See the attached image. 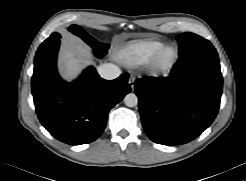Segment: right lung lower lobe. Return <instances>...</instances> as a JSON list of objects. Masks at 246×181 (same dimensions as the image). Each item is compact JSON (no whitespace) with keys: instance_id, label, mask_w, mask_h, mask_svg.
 <instances>
[{"instance_id":"1","label":"right lung lower lobe","mask_w":246,"mask_h":181,"mask_svg":"<svg viewBox=\"0 0 246 181\" xmlns=\"http://www.w3.org/2000/svg\"><path fill=\"white\" fill-rule=\"evenodd\" d=\"M59 45L56 40L36 53L31 82L36 112L41 124L59 141L91 143L104 131L110 109L131 91L129 75L123 73L108 81L88 67L79 79L66 83L56 69Z\"/></svg>"}]
</instances>
